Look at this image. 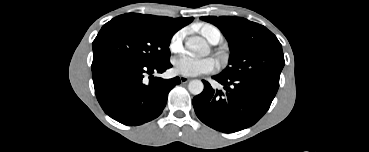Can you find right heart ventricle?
I'll return each mask as SVG.
<instances>
[{"instance_id": "right-heart-ventricle-1", "label": "right heart ventricle", "mask_w": 369, "mask_h": 152, "mask_svg": "<svg viewBox=\"0 0 369 152\" xmlns=\"http://www.w3.org/2000/svg\"><path fill=\"white\" fill-rule=\"evenodd\" d=\"M214 31H218V29L210 24L201 25L199 28V33L209 42L212 40V33Z\"/></svg>"}]
</instances>
